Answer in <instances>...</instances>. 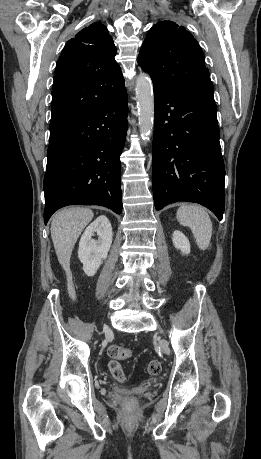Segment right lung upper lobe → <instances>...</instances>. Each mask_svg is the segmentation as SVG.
Listing matches in <instances>:
<instances>
[{"instance_id":"right-lung-upper-lobe-1","label":"right lung upper lobe","mask_w":261,"mask_h":459,"mask_svg":"<svg viewBox=\"0 0 261 459\" xmlns=\"http://www.w3.org/2000/svg\"><path fill=\"white\" fill-rule=\"evenodd\" d=\"M116 52L107 28L97 22L67 42L54 74L50 126L69 125L125 88Z\"/></svg>"}]
</instances>
